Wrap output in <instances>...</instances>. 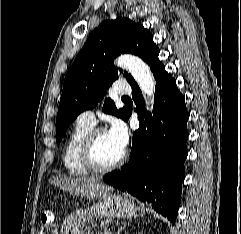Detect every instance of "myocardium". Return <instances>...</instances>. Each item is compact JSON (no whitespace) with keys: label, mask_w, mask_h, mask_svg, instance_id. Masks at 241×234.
Instances as JSON below:
<instances>
[{"label":"myocardium","mask_w":241,"mask_h":234,"mask_svg":"<svg viewBox=\"0 0 241 234\" xmlns=\"http://www.w3.org/2000/svg\"><path fill=\"white\" fill-rule=\"evenodd\" d=\"M106 132L105 128L97 127L90 130L85 136L81 147V159L85 167L94 173H107L119 168L123 165L127 159V151L124 150L122 156L114 163L110 165H101L98 163L95 157V145L97 136Z\"/></svg>","instance_id":"f54148a6"}]
</instances>
